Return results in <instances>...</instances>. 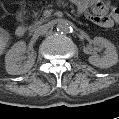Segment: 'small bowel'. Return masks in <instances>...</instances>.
<instances>
[{
	"mask_svg": "<svg viewBox=\"0 0 119 119\" xmlns=\"http://www.w3.org/2000/svg\"><path fill=\"white\" fill-rule=\"evenodd\" d=\"M78 13L86 14L96 25L111 28L119 20V7L109 1L78 0L75 2Z\"/></svg>",
	"mask_w": 119,
	"mask_h": 119,
	"instance_id": "small-bowel-1",
	"label": "small bowel"
}]
</instances>
